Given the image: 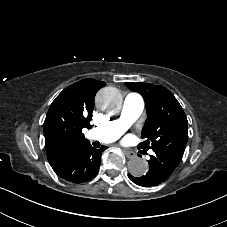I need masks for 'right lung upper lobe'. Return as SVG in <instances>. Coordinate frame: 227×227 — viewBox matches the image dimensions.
Wrapping results in <instances>:
<instances>
[{"label":"right lung upper lobe","mask_w":227,"mask_h":227,"mask_svg":"<svg viewBox=\"0 0 227 227\" xmlns=\"http://www.w3.org/2000/svg\"><path fill=\"white\" fill-rule=\"evenodd\" d=\"M106 85L95 79H83L65 88L52 102L44 121L45 148L53 169L89 141L82 133L91 128L90 120L96 92Z\"/></svg>","instance_id":"right-lung-upper-lobe-1"}]
</instances>
